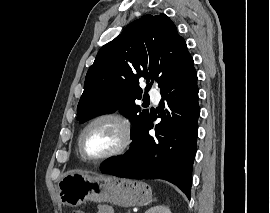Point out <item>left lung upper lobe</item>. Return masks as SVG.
<instances>
[{
    "mask_svg": "<svg viewBox=\"0 0 270 213\" xmlns=\"http://www.w3.org/2000/svg\"><path fill=\"white\" fill-rule=\"evenodd\" d=\"M192 65L186 42L170 18L144 15L99 50L86 74L77 119L84 123L119 109L132 121L133 134L150 118L135 104L142 98L138 79L151 81L146 91L153 82L161 90Z\"/></svg>",
    "mask_w": 270,
    "mask_h": 213,
    "instance_id": "obj_1",
    "label": "left lung upper lobe"
}]
</instances>
